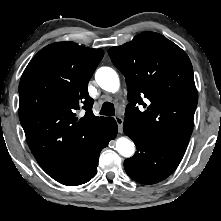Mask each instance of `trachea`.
<instances>
[{
  "label": "trachea",
  "mask_w": 221,
  "mask_h": 221,
  "mask_svg": "<svg viewBox=\"0 0 221 221\" xmlns=\"http://www.w3.org/2000/svg\"><path fill=\"white\" fill-rule=\"evenodd\" d=\"M101 115H108V116H113L115 115V108L114 105L110 102H105L102 105L101 111H100Z\"/></svg>",
  "instance_id": "3493384b"
}]
</instances>
